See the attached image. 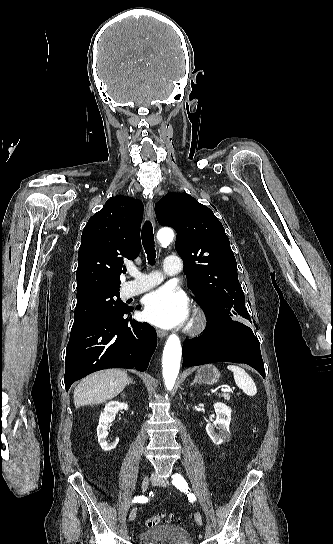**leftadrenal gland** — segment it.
I'll list each match as a JSON object with an SVG mask.
<instances>
[{"label":"left adrenal gland","mask_w":333,"mask_h":544,"mask_svg":"<svg viewBox=\"0 0 333 544\" xmlns=\"http://www.w3.org/2000/svg\"><path fill=\"white\" fill-rule=\"evenodd\" d=\"M195 383H199V384H200V382L198 381L197 376L195 377L194 381L191 383V386L194 385Z\"/></svg>","instance_id":"a2214340"}]
</instances>
